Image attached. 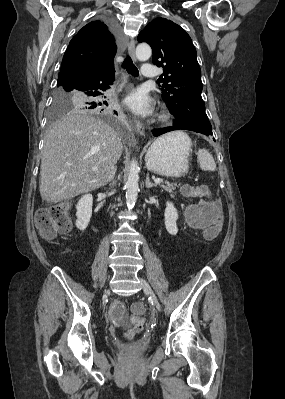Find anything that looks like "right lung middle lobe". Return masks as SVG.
Returning a JSON list of instances; mask_svg holds the SVG:
<instances>
[{
  "label": "right lung middle lobe",
  "instance_id": "right-lung-middle-lobe-1",
  "mask_svg": "<svg viewBox=\"0 0 285 399\" xmlns=\"http://www.w3.org/2000/svg\"><path fill=\"white\" fill-rule=\"evenodd\" d=\"M57 87L58 89L54 96L50 122H53L59 115L71 110L80 112L90 111L102 114H109L111 112L109 108L99 105L98 102L95 101V97H90L81 90L68 85Z\"/></svg>",
  "mask_w": 285,
  "mask_h": 399
}]
</instances>
